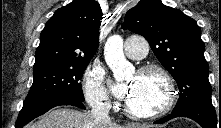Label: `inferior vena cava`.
Instances as JSON below:
<instances>
[{"label":"inferior vena cava","instance_id":"obj_1","mask_svg":"<svg viewBox=\"0 0 221 128\" xmlns=\"http://www.w3.org/2000/svg\"><path fill=\"white\" fill-rule=\"evenodd\" d=\"M109 107L101 106L98 103L94 104L91 109V115L95 119V121H108L109 118Z\"/></svg>","mask_w":221,"mask_h":128}]
</instances>
